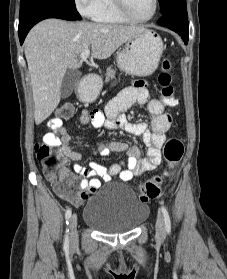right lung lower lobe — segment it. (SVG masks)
<instances>
[{"instance_id":"1","label":"right lung lower lobe","mask_w":227,"mask_h":279,"mask_svg":"<svg viewBox=\"0 0 227 279\" xmlns=\"http://www.w3.org/2000/svg\"><path fill=\"white\" fill-rule=\"evenodd\" d=\"M59 18L64 20H81L76 8H72L60 0H31L20 6L19 40L23 44L29 30L41 20Z\"/></svg>"}]
</instances>
